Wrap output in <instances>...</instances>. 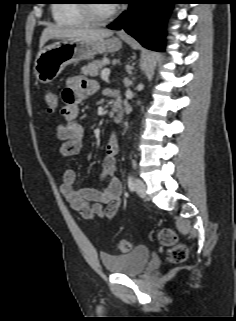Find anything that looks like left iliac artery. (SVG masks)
I'll return each mask as SVG.
<instances>
[{
    "label": "left iliac artery",
    "instance_id": "left-iliac-artery-1",
    "mask_svg": "<svg viewBox=\"0 0 236 321\" xmlns=\"http://www.w3.org/2000/svg\"><path fill=\"white\" fill-rule=\"evenodd\" d=\"M127 183H128V188L130 189V191H134L133 177L131 176L130 173H129L128 177H127Z\"/></svg>",
    "mask_w": 236,
    "mask_h": 321
}]
</instances>
